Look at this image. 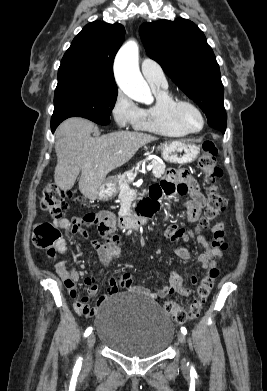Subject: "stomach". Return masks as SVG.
<instances>
[{
  "label": "stomach",
  "mask_w": 267,
  "mask_h": 391,
  "mask_svg": "<svg viewBox=\"0 0 267 391\" xmlns=\"http://www.w3.org/2000/svg\"><path fill=\"white\" fill-rule=\"evenodd\" d=\"M162 158L170 163L187 164L193 162L198 154L199 147L190 142H171L161 146ZM117 192L115 181H104L97 190V198L100 200L108 199Z\"/></svg>",
  "instance_id": "0dacf381"
}]
</instances>
